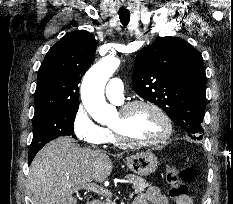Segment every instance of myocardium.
I'll return each mask as SVG.
<instances>
[{
  "label": "myocardium",
  "instance_id": "myocardium-1",
  "mask_svg": "<svg viewBox=\"0 0 233 204\" xmlns=\"http://www.w3.org/2000/svg\"><path fill=\"white\" fill-rule=\"evenodd\" d=\"M147 107L153 110L163 121L165 125L164 133L158 138L150 141H134L126 137L119 127L111 126V131L115 136L116 140L124 146H133V147H151L164 143L167 141L173 132V125L169 115L156 103L145 100V99H136L129 101L122 105L119 109V113L122 116H126L136 107Z\"/></svg>",
  "mask_w": 233,
  "mask_h": 204
}]
</instances>
